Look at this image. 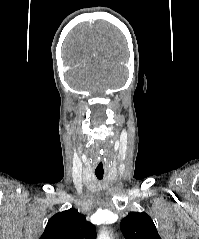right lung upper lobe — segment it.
Returning <instances> with one entry per match:
<instances>
[{"mask_svg": "<svg viewBox=\"0 0 199 239\" xmlns=\"http://www.w3.org/2000/svg\"><path fill=\"white\" fill-rule=\"evenodd\" d=\"M96 230L75 209L55 214L47 223L40 239H95Z\"/></svg>", "mask_w": 199, "mask_h": 239, "instance_id": "cb5924a9", "label": "right lung upper lobe"}]
</instances>
